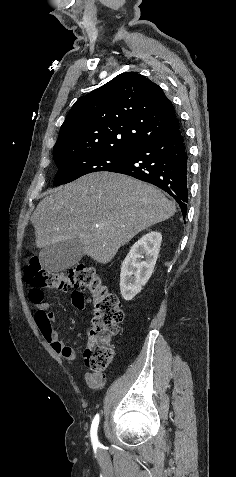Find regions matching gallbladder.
I'll return each mask as SVG.
<instances>
[{"instance_id":"1","label":"gallbladder","mask_w":236,"mask_h":477,"mask_svg":"<svg viewBox=\"0 0 236 477\" xmlns=\"http://www.w3.org/2000/svg\"><path fill=\"white\" fill-rule=\"evenodd\" d=\"M83 253V245L78 239L61 241L42 249L40 262L45 269L60 272L79 262Z\"/></svg>"}]
</instances>
